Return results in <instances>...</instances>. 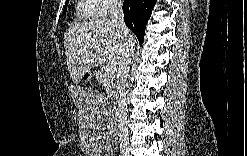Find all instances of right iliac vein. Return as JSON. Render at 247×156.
Segmentation results:
<instances>
[{
  "label": "right iliac vein",
  "instance_id": "obj_1",
  "mask_svg": "<svg viewBox=\"0 0 247 156\" xmlns=\"http://www.w3.org/2000/svg\"><path fill=\"white\" fill-rule=\"evenodd\" d=\"M121 151H122V153L125 155V156H129L130 155V153H129V151H130V148L128 147V146H126V145H123L122 147H121Z\"/></svg>",
  "mask_w": 247,
  "mask_h": 156
}]
</instances>
